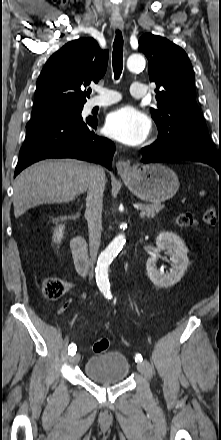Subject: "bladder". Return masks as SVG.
I'll return each instance as SVG.
<instances>
[{
    "instance_id": "obj_1",
    "label": "bladder",
    "mask_w": 221,
    "mask_h": 440,
    "mask_svg": "<svg viewBox=\"0 0 221 440\" xmlns=\"http://www.w3.org/2000/svg\"><path fill=\"white\" fill-rule=\"evenodd\" d=\"M130 370L128 358L119 351L99 353L90 357L84 366L85 376L97 383L123 382Z\"/></svg>"
}]
</instances>
